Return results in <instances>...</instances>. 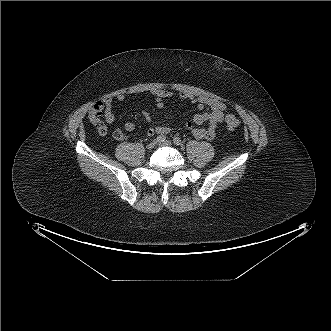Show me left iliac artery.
Here are the masks:
<instances>
[{
	"label": "left iliac artery",
	"mask_w": 331,
	"mask_h": 331,
	"mask_svg": "<svg viewBox=\"0 0 331 331\" xmlns=\"http://www.w3.org/2000/svg\"><path fill=\"white\" fill-rule=\"evenodd\" d=\"M173 142H174V144H176V145H182V141H181V139H180L179 137H177V136H175V137L173 138Z\"/></svg>",
	"instance_id": "1"
}]
</instances>
